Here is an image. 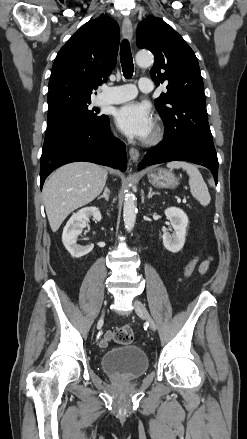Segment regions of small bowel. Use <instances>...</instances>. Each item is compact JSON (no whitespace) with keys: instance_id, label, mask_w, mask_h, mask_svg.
<instances>
[{"instance_id":"obj_1","label":"small bowel","mask_w":247,"mask_h":439,"mask_svg":"<svg viewBox=\"0 0 247 439\" xmlns=\"http://www.w3.org/2000/svg\"><path fill=\"white\" fill-rule=\"evenodd\" d=\"M210 262H211V259H207L201 263V265L199 266V272L201 274H205L207 272L209 265H210ZM111 339H112V333L107 332L104 335V337L100 340L99 345L101 347H106L109 344V342L111 341Z\"/></svg>"}]
</instances>
